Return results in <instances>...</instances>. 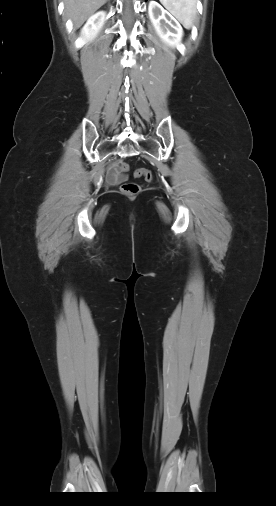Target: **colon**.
Listing matches in <instances>:
<instances>
[{"label": "colon", "mask_w": 276, "mask_h": 506, "mask_svg": "<svg viewBox=\"0 0 276 506\" xmlns=\"http://www.w3.org/2000/svg\"><path fill=\"white\" fill-rule=\"evenodd\" d=\"M115 167L121 173H125L129 170V165L127 163H118ZM135 176L143 177L146 181H151L153 179L152 172L145 168L137 169L135 172ZM121 190L124 194L128 196H135L140 192V187L136 183L126 182L122 184Z\"/></svg>", "instance_id": "5ec220e1"}]
</instances>
